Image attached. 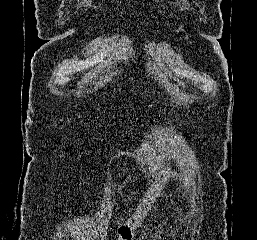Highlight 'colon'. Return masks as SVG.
<instances>
[{"instance_id":"obj_1","label":"colon","mask_w":257,"mask_h":240,"mask_svg":"<svg viewBox=\"0 0 257 240\" xmlns=\"http://www.w3.org/2000/svg\"><path fill=\"white\" fill-rule=\"evenodd\" d=\"M168 172L169 165L168 163H165L158 171L155 179L149 186L140 203L133 211L132 215L119 227L116 240H132L135 231L140 227L141 223L146 218L158 192L168 176Z\"/></svg>"}]
</instances>
